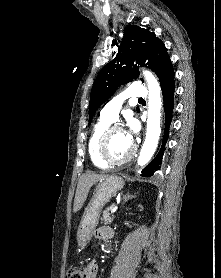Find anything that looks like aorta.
I'll return each mask as SVG.
<instances>
[{
  "label": "aorta",
  "instance_id": "762f6f07",
  "mask_svg": "<svg viewBox=\"0 0 221 278\" xmlns=\"http://www.w3.org/2000/svg\"><path fill=\"white\" fill-rule=\"evenodd\" d=\"M143 75L146 79L149 97H148V119L146 139L142 146L138 157V165H146L152 158L161 133L160 117H161V89L157 78L150 72L144 71Z\"/></svg>",
  "mask_w": 221,
  "mask_h": 278
}]
</instances>
